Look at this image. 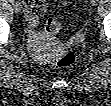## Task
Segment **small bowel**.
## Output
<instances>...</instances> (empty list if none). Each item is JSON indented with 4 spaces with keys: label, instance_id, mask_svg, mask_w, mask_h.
<instances>
[{
    "label": "small bowel",
    "instance_id": "obj_1",
    "mask_svg": "<svg viewBox=\"0 0 111 106\" xmlns=\"http://www.w3.org/2000/svg\"><path fill=\"white\" fill-rule=\"evenodd\" d=\"M27 19L30 23V35L35 38L33 28L38 23V18L45 12L46 3L43 0H26L24 1Z\"/></svg>",
    "mask_w": 111,
    "mask_h": 106
}]
</instances>
